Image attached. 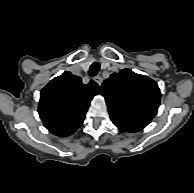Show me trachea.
I'll list each match as a JSON object with an SVG mask.
<instances>
[{
	"label": "trachea",
	"instance_id": "trachea-1",
	"mask_svg": "<svg viewBox=\"0 0 194 193\" xmlns=\"http://www.w3.org/2000/svg\"><path fill=\"white\" fill-rule=\"evenodd\" d=\"M99 69H100V63L94 62V63L90 66L89 75H90V76H95V75H97L98 72H99Z\"/></svg>",
	"mask_w": 194,
	"mask_h": 193
}]
</instances>
